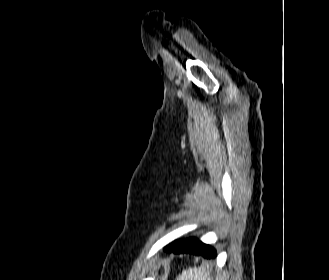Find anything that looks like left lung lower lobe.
Returning a JSON list of instances; mask_svg holds the SVG:
<instances>
[{"label": "left lung lower lobe", "mask_w": 329, "mask_h": 280, "mask_svg": "<svg viewBox=\"0 0 329 280\" xmlns=\"http://www.w3.org/2000/svg\"><path fill=\"white\" fill-rule=\"evenodd\" d=\"M167 252L191 253L205 258L216 257L215 250L195 238L176 241L165 248Z\"/></svg>", "instance_id": "obj_1"}]
</instances>
